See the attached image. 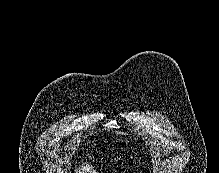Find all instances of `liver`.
<instances>
[{"instance_id": "6515ba94", "label": "liver", "mask_w": 219, "mask_h": 173, "mask_svg": "<svg viewBox=\"0 0 219 173\" xmlns=\"http://www.w3.org/2000/svg\"><path fill=\"white\" fill-rule=\"evenodd\" d=\"M76 173H97V172L96 170L93 169L91 165L86 164V166H82L80 169H77Z\"/></svg>"}]
</instances>
